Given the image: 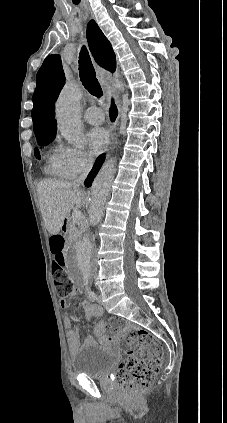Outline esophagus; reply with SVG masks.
<instances>
[{
	"instance_id": "esophagus-1",
	"label": "esophagus",
	"mask_w": 227,
	"mask_h": 423,
	"mask_svg": "<svg viewBox=\"0 0 227 423\" xmlns=\"http://www.w3.org/2000/svg\"><path fill=\"white\" fill-rule=\"evenodd\" d=\"M99 74L107 92V115L109 119V125L113 126L112 128L114 129L116 121L119 119L120 116V99L111 86V74L102 68L99 69Z\"/></svg>"
}]
</instances>
